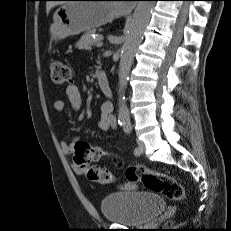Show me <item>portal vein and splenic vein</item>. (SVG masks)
Instances as JSON below:
<instances>
[{
	"label": "portal vein and splenic vein",
	"instance_id": "obj_1",
	"mask_svg": "<svg viewBox=\"0 0 231 231\" xmlns=\"http://www.w3.org/2000/svg\"><path fill=\"white\" fill-rule=\"evenodd\" d=\"M96 46L97 47H102L103 46V42L100 40V41H98L97 43H96Z\"/></svg>",
	"mask_w": 231,
	"mask_h": 231
}]
</instances>
